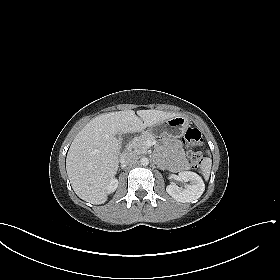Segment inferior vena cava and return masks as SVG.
I'll list each match as a JSON object with an SVG mask.
<instances>
[{"label":"inferior vena cava","instance_id":"obj_1","mask_svg":"<svg viewBox=\"0 0 280 280\" xmlns=\"http://www.w3.org/2000/svg\"><path fill=\"white\" fill-rule=\"evenodd\" d=\"M138 159H139V157L134 153H125L121 157V163L126 164V165L135 164L138 162Z\"/></svg>","mask_w":280,"mask_h":280}]
</instances>
